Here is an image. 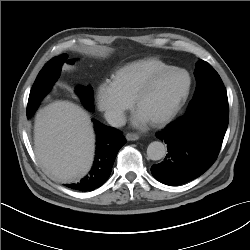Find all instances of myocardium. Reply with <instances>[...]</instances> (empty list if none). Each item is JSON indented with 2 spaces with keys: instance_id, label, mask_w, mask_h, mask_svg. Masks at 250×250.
<instances>
[{
  "instance_id": "myocardium-1",
  "label": "myocardium",
  "mask_w": 250,
  "mask_h": 250,
  "mask_svg": "<svg viewBox=\"0 0 250 250\" xmlns=\"http://www.w3.org/2000/svg\"><path fill=\"white\" fill-rule=\"evenodd\" d=\"M172 72H183L187 76V86L182 94V96L178 99V101L175 103V105L163 116L160 118L151 121L150 124L154 127H160L171 121L175 115L180 111V109L183 107L185 102L187 101L189 94L191 92L192 88V77L190 73L181 67H169L166 69H163L154 75H152L143 85L142 87L138 90L134 97V105L136 108H138V105L140 102L153 90L157 82L163 78L164 76L172 73Z\"/></svg>"
}]
</instances>
